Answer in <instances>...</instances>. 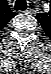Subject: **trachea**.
Masks as SVG:
<instances>
[{"mask_svg":"<svg viewBox=\"0 0 51 74\" xmlns=\"http://www.w3.org/2000/svg\"><path fill=\"white\" fill-rule=\"evenodd\" d=\"M14 9L16 11L27 9V3H26V1L25 0H16Z\"/></svg>","mask_w":51,"mask_h":74,"instance_id":"obj_1","label":"trachea"}]
</instances>
